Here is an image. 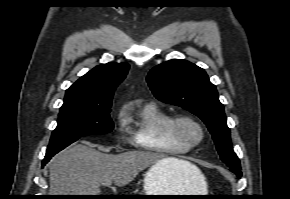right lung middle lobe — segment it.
<instances>
[{
	"instance_id": "1",
	"label": "right lung middle lobe",
	"mask_w": 290,
	"mask_h": 199,
	"mask_svg": "<svg viewBox=\"0 0 290 199\" xmlns=\"http://www.w3.org/2000/svg\"><path fill=\"white\" fill-rule=\"evenodd\" d=\"M111 106L60 108L58 125L52 132L46 156H53L77 139L113 130Z\"/></svg>"
}]
</instances>
